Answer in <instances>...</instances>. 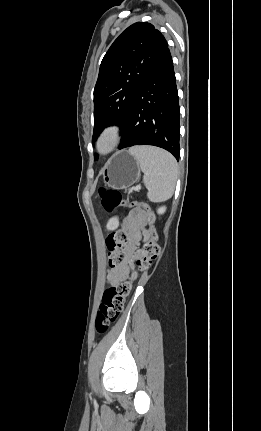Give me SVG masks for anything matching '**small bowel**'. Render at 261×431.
Masks as SVG:
<instances>
[{"label":"small bowel","instance_id":"obj_1","mask_svg":"<svg viewBox=\"0 0 261 431\" xmlns=\"http://www.w3.org/2000/svg\"><path fill=\"white\" fill-rule=\"evenodd\" d=\"M125 228L128 231L130 242L125 249V261L115 267H111L108 271L107 281L110 284H116L119 281L136 278L137 271L135 264L140 257L138 244L146 238V218L141 210H133L126 222Z\"/></svg>","mask_w":261,"mask_h":431}]
</instances>
